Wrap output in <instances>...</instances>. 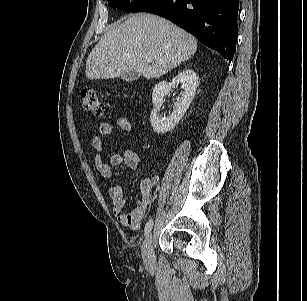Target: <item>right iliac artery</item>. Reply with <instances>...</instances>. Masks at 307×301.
<instances>
[{"mask_svg":"<svg viewBox=\"0 0 307 301\" xmlns=\"http://www.w3.org/2000/svg\"><path fill=\"white\" fill-rule=\"evenodd\" d=\"M152 227H153V220L150 219L145 225V229H144L145 236H147L150 233Z\"/></svg>","mask_w":307,"mask_h":301,"instance_id":"82829eb1","label":"right iliac artery"}]
</instances>
